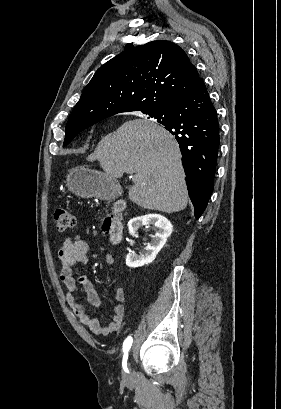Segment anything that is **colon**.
I'll return each mask as SVG.
<instances>
[{
	"mask_svg": "<svg viewBox=\"0 0 281 409\" xmlns=\"http://www.w3.org/2000/svg\"><path fill=\"white\" fill-rule=\"evenodd\" d=\"M53 219L56 229L60 233L68 231L75 223L73 213L64 208H57L53 213Z\"/></svg>",
	"mask_w": 281,
	"mask_h": 409,
	"instance_id": "obj_1",
	"label": "colon"
}]
</instances>
